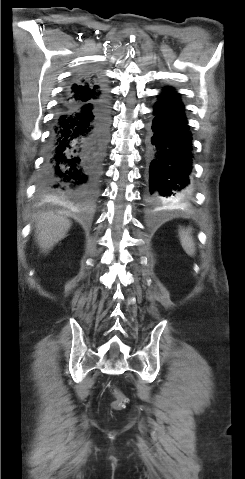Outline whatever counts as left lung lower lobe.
Instances as JSON below:
<instances>
[{
    "instance_id": "left-lung-lower-lobe-1",
    "label": "left lung lower lobe",
    "mask_w": 245,
    "mask_h": 479,
    "mask_svg": "<svg viewBox=\"0 0 245 479\" xmlns=\"http://www.w3.org/2000/svg\"><path fill=\"white\" fill-rule=\"evenodd\" d=\"M147 199L169 204L190 195L192 138L179 94L167 87L154 106Z\"/></svg>"
}]
</instances>
